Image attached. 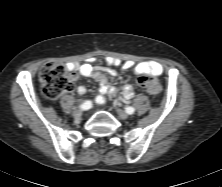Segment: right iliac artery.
<instances>
[{"instance_id": "right-iliac-artery-1", "label": "right iliac artery", "mask_w": 222, "mask_h": 187, "mask_svg": "<svg viewBox=\"0 0 222 187\" xmlns=\"http://www.w3.org/2000/svg\"><path fill=\"white\" fill-rule=\"evenodd\" d=\"M79 107L83 110H88L92 107V103H91V101H85Z\"/></svg>"}]
</instances>
